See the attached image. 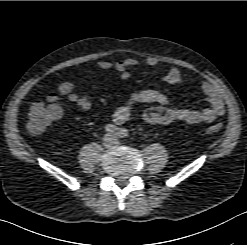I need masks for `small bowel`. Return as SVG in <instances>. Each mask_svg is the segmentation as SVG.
Wrapping results in <instances>:
<instances>
[{"instance_id":"1","label":"small bowel","mask_w":247,"mask_h":245,"mask_svg":"<svg viewBox=\"0 0 247 245\" xmlns=\"http://www.w3.org/2000/svg\"><path fill=\"white\" fill-rule=\"evenodd\" d=\"M139 64L136 58L130 57L121 61L111 62L100 60L96 63L102 70L114 69L120 75V78L127 80L131 76V69ZM149 67L158 64V60L149 57L144 61ZM164 81L171 84L186 83V79L179 68L171 66L163 77ZM201 90L208 106L202 110L191 108H178L170 104L166 94L156 89H146L131 94L128 99L119 106L113 113L112 119L115 123H123L130 118L134 109L143 103H155L157 106L147 108L143 113L144 120L151 125H166L175 121H181L188 124L210 123L224 113V103L217 90L208 82H202ZM57 91L60 95L66 96L68 101L78 106L81 110L88 111L91 106L89 97L80 95L76 92L74 82H62ZM58 96L51 93L47 101L49 104L57 107L62 114L60 106L57 104Z\"/></svg>"}]
</instances>
